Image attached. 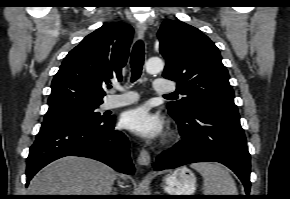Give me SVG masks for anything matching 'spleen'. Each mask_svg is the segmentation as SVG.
<instances>
[{
  "label": "spleen",
  "instance_id": "spleen-1",
  "mask_svg": "<svg viewBox=\"0 0 290 199\" xmlns=\"http://www.w3.org/2000/svg\"><path fill=\"white\" fill-rule=\"evenodd\" d=\"M191 168L203 177L204 195H238L232 176L221 165L202 162L192 164Z\"/></svg>",
  "mask_w": 290,
  "mask_h": 199
}]
</instances>
